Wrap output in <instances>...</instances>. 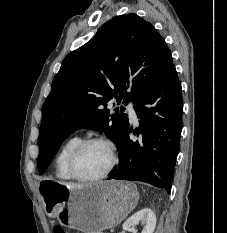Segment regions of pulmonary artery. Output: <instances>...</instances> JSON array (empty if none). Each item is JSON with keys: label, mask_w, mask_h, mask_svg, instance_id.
Wrapping results in <instances>:
<instances>
[{"label": "pulmonary artery", "mask_w": 227, "mask_h": 233, "mask_svg": "<svg viewBox=\"0 0 227 233\" xmlns=\"http://www.w3.org/2000/svg\"><path fill=\"white\" fill-rule=\"evenodd\" d=\"M126 110H127L128 114L130 116V119L135 122L137 120V115H136V112L134 110L133 103L129 102L126 105Z\"/></svg>", "instance_id": "1"}]
</instances>
